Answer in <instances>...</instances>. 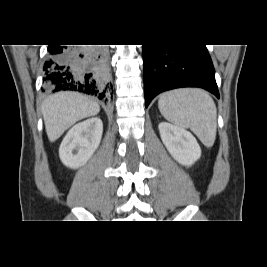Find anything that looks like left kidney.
I'll use <instances>...</instances> for the list:
<instances>
[{"mask_svg":"<svg viewBox=\"0 0 267 267\" xmlns=\"http://www.w3.org/2000/svg\"><path fill=\"white\" fill-rule=\"evenodd\" d=\"M158 128L162 142L180 164L191 166L200 158L201 148L189 131L167 122H161Z\"/></svg>","mask_w":267,"mask_h":267,"instance_id":"obj_1","label":"left kidney"}]
</instances>
